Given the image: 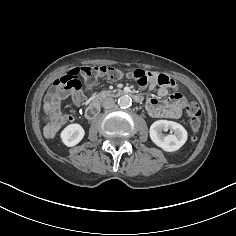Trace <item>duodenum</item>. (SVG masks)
<instances>
[{
    "label": "duodenum",
    "mask_w": 236,
    "mask_h": 236,
    "mask_svg": "<svg viewBox=\"0 0 236 236\" xmlns=\"http://www.w3.org/2000/svg\"><path fill=\"white\" fill-rule=\"evenodd\" d=\"M116 94H129L132 97V99L136 102H140L142 100V98L139 94L131 93V92H128V91H125V90L102 91V92L97 93L94 96L91 103L87 107L86 112H85L86 118L91 119L94 116H96V114L99 111L100 102L104 97L109 96V95H116Z\"/></svg>",
    "instance_id": "1"
}]
</instances>
